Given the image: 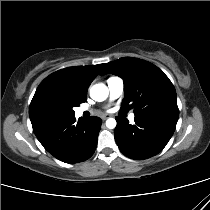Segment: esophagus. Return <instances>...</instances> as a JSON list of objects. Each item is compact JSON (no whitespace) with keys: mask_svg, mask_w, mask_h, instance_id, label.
<instances>
[{"mask_svg":"<svg viewBox=\"0 0 210 210\" xmlns=\"http://www.w3.org/2000/svg\"><path fill=\"white\" fill-rule=\"evenodd\" d=\"M107 118H109V115H107V114H104V115L101 116L102 120H106Z\"/></svg>","mask_w":210,"mask_h":210,"instance_id":"esophagus-1","label":"esophagus"}]
</instances>
